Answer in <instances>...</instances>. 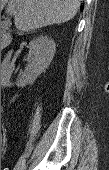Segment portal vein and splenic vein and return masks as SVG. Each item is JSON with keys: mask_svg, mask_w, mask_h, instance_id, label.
<instances>
[{"mask_svg": "<svg viewBox=\"0 0 109 170\" xmlns=\"http://www.w3.org/2000/svg\"><path fill=\"white\" fill-rule=\"evenodd\" d=\"M6 12L9 14V15H16L17 14V11L14 7L10 6V8L8 7Z\"/></svg>", "mask_w": 109, "mask_h": 170, "instance_id": "portal-vein-and-splenic-vein-1", "label": "portal vein and splenic vein"}]
</instances>
